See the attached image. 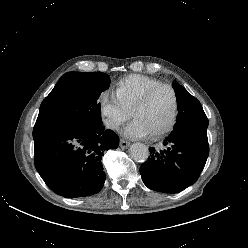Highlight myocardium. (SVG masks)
Listing matches in <instances>:
<instances>
[{"instance_id":"1","label":"myocardium","mask_w":248,"mask_h":248,"mask_svg":"<svg viewBox=\"0 0 248 248\" xmlns=\"http://www.w3.org/2000/svg\"><path fill=\"white\" fill-rule=\"evenodd\" d=\"M162 88L169 89L173 95V111H172V115H171V118L168 121V123L163 128L150 134L152 137H159V136H162V135L168 133L169 131H171L173 129V127L176 124V121L178 118V113H179V97H178V94H177L176 90L174 89V87L171 86L170 84L161 83V84H158V85L150 88L149 90H147L143 94V96L133 105V107L130 110V116L133 117V114L137 110H139V109L143 108L145 105H147V103L150 101L151 97L158 90H160Z\"/></svg>"}]
</instances>
